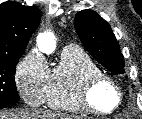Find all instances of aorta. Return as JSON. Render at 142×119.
Returning a JSON list of instances; mask_svg holds the SVG:
<instances>
[{"label":"aorta","mask_w":142,"mask_h":119,"mask_svg":"<svg viewBox=\"0 0 142 119\" xmlns=\"http://www.w3.org/2000/svg\"><path fill=\"white\" fill-rule=\"evenodd\" d=\"M37 45L41 52L50 55L55 51V36L51 32L40 33L37 37Z\"/></svg>","instance_id":"obj_1"}]
</instances>
